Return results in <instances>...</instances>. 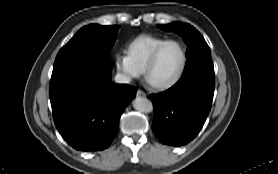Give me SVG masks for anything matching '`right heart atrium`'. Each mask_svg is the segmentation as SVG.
Instances as JSON below:
<instances>
[{"label":"right heart atrium","mask_w":278,"mask_h":174,"mask_svg":"<svg viewBox=\"0 0 278 174\" xmlns=\"http://www.w3.org/2000/svg\"><path fill=\"white\" fill-rule=\"evenodd\" d=\"M116 66L118 71L125 77V78H132L137 77L139 75V71L134 67L131 63L128 56L122 55L118 56L116 59Z\"/></svg>","instance_id":"obj_1"}]
</instances>
